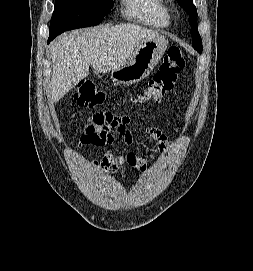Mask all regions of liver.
<instances>
[{
	"instance_id": "liver-1",
	"label": "liver",
	"mask_w": 253,
	"mask_h": 271,
	"mask_svg": "<svg viewBox=\"0 0 253 271\" xmlns=\"http://www.w3.org/2000/svg\"><path fill=\"white\" fill-rule=\"evenodd\" d=\"M158 35L135 24L104 25L60 35L50 46L51 102L59 101L86 78L90 65L100 73L115 70L127 62L141 41Z\"/></svg>"
}]
</instances>
